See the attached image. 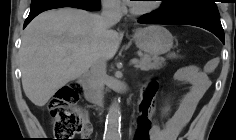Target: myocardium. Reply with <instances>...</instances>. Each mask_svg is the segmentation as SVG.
Listing matches in <instances>:
<instances>
[{"label": "myocardium", "mask_w": 236, "mask_h": 140, "mask_svg": "<svg viewBox=\"0 0 236 140\" xmlns=\"http://www.w3.org/2000/svg\"><path fill=\"white\" fill-rule=\"evenodd\" d=\"M160 7L158 2L151 3L147 6L139 7L135 4L130 5V11L135 15H145L154 12Z\"/></svg>", "instance_id": "f54148a6"}]
</instances>
